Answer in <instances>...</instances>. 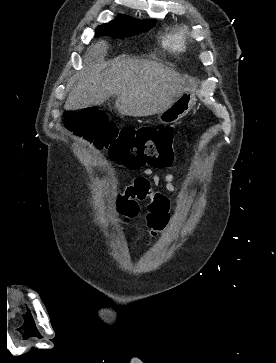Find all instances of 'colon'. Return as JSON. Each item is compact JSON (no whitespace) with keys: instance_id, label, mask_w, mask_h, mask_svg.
Segmentation results:
<instances>
[{"instance_id":"1","label":"colon","mask_w":276,"mask_h":363,"mask_svg":"<svg viewBox=\"0 0 276 363\" xmlns=\"http://www.w3.org/2000/svg\"><path fill=\"white\" fill-rule=\"evenodd\" d=\"M66 125L79 137L98 146H109L112 156L128 168H162L171 164L175 157L174 136L166 128L119 129L93 108L72 112L66 117ZM148 220L149 226L161 230L168 222V212L162 215V219L150 215Z\"/></svg>"}]
</instances>
